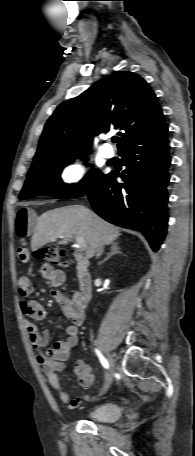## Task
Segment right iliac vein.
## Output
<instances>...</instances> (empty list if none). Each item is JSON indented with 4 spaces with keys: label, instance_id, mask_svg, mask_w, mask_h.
I'll list each match as a JSON object with an SVG mask.
<instances>
[{
    "label": "right iliac vein",
    "instance_id": "obj_1",
    "mask_svg": "<svg viewBox=\"0 0 195 456\" xmlns=\"http://www.w3.org/2000/svg\"><path fill=\"white\" fill-rule=\"evenodd\" d=\"M108 361H109V365H110V370L106 374V379H105V383H104L103 389L101 391V394H104L109 389V387L112 383V380H113V376H114L115 361L111 356H108Z\"/></svg>",
    "mask_w": 195,
    "mask_h": 456
}]
</instances>
